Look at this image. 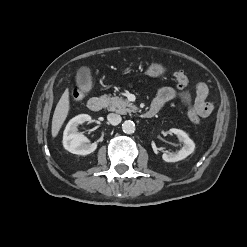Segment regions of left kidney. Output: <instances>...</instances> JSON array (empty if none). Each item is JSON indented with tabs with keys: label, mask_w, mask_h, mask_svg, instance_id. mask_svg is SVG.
Returning a JSON list of instances; mask_svg holds the SVG:
<instances>
[{
	"label": "left kidney",
	"mask_w": 247,
	"mask_h": 247,
	"mask_svg": "<svg viewBox=\"0 0 247 247\" xmlns=\"http://www.w3.org/2000/svg\"><path fill=\"white\" fill-rule=\"evenodd\" d=\"M170 132L178 137L179 141L183 143V147L178 151V153H164L162 159L165 162H177L183 160L194 152L195 143L183 130L172 128L170 129Z\"/></svg>",
	"instance_id": "5707ae66"
}]
</instances>
